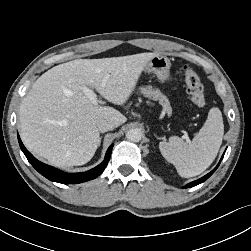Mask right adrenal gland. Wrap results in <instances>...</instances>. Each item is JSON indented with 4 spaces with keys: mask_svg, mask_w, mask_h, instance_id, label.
I'll return each mask as SVG.
<instances>
[{
    "mask_svg": "<svg viewBox=\"0 0 251 251\" xmlns=\"http://www.w3.org/2000/svg\"><path fill=\"white\" fill-rule=\"evenodd\" d=\"M101 139H102V137H100V142H99V145H100V143H101Z\"/></svg>",
    "mask_w": 251,
    "mask_h": 251,
    "instance_id": "1",
    "label": "right adrenal gland"
}]
</instances>
